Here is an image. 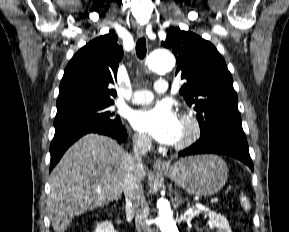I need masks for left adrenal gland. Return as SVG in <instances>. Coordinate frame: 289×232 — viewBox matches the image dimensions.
<instances>
[{"mask_svg": "<svg viewBox=\"0 0 289 232\" xmlns=\"http://www.w3.org/2000/svg\"><path fill=\"white\" fill-rule=\"evenodd\" d=\"M175 202H176L177 204L182 203V198H180V197L178 196V194L175 196Z\"/></svg>", "mask_w": 289, "mask_h": 232, "instance_id": "1", "label": "left adrenal gland"}]
</instances>
